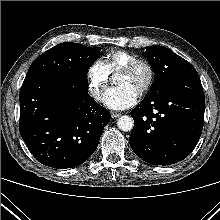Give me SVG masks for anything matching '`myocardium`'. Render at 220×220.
<instances>
[{
  "label": "myocardium",
  "mask_w": 220,
  "mask_h": 220,
  "mask_svg": "<svg viewBox=\"0 0 220 220\" xmlns=\"http://www.w3.org/2000/svg\"><path fill=\"white\" fill-rule=\"evenodd\" d=\"M139 67H144L147 70V79L138 92V95L143 96L150 91L155 81V70L153 65L148 60L137 58L136 60L124 66L121 69V72L128 74L133 73Z\"/></svg>",
  "instance_id": "f54148a6"
}]
</instances>
